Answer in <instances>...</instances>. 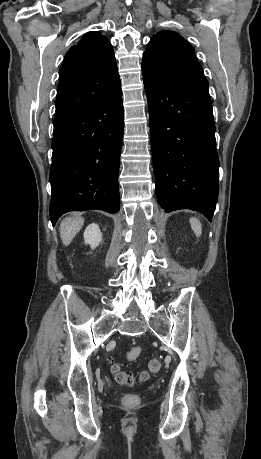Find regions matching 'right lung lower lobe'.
I'll return each mask as SVG.
<instances>
[{
	"label": "right lung lower lobe",
	"mask_w": 261,
	"mask_h": 459,
	"mask_svg": "<svg viewBox=\"0 0 261 459\" xmlns=\"http://www.w3.org/2000/svg\"><path fill=\"white\" fill-rule=\"evenodd\" d=\"M123 128L121 86L97 105L54 125L50 171L53 225L68 211H119Z\"/></svg>",
	"instance_id": "right-lung-lower-lobe-1"
}]
</instances>
